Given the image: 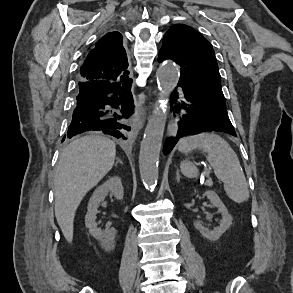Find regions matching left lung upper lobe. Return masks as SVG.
I'll return each instance as SVG.
<instances>
[{
  "label": "left lung upper lobe",
  "instance_id": "left-lung-upper-lobe-1",
  "mask_svg": "<svg viewBox=\"0 0 293 293\" xmlns=\"http://www.w3.org/2000/svg\"><path fill=\"white\" fill-rule=\"evenodd\" d=\"M158 59H171L180 65L178 85L191 89L207 100L225 103L214 50L190 26L175 24L165 33Z\"/></svg>",
  "mask_w": 293,
  "mask_h": 293
}]
</instances>
